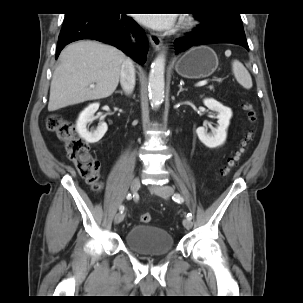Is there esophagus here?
I'll list each match as a JSON object with an SVG mask.
<instances>
[{"mask_svg":"<svg viewBox=\"0 0 303 303\" xmlns=\"http://www.w3.org/2000/svg\"><path fill=\"white\" fill-rule=\"evenodd\" d=\"M149 40L151 42V45L156 51H158L161 48L162 39L157 34L151 32L149 34Z\"/></svg>","mask_w":303,"mask_h":303,"instance_id":"1","label":"esophagus"}]
</instances>
